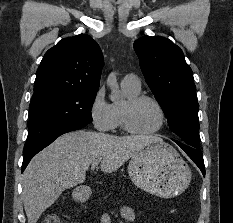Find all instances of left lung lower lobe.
I'll return each instance as SVG.
<instances>
[{"label":"left lung lower lobe","mask_w":233,"mask_h":223,"mask_svg":"<svg viewBox=\"0 0 233 223\" xmlns=\"http://www.w3.org/2000/svg\"><path fill=\"white\" fill-rule=\"evenodd\" d=\"M186 154L194 161V163L199 167L203 176H205V166L202 152L200 151V147H189L184 144H178Z\"/></svg>","instance_id":"1"}]
</instances>
